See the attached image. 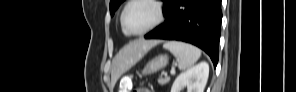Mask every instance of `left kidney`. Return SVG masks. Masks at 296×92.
Returning a JSON list of instances; mask_svg holds the SVG:
<instances>
[{
    "label": "left kidney",
    "instance_id": "5707ae66",
    "mask_svg": "<svg viewBox=\"0 0 296 92\" xmlns=\"http://www.w3.org/2000/svg\"><path fill=\"white\" fill-rule=\"evenodd\" d=\"M209 76V65L201 62L180 73L175 79L171 92H181L187 87V92H203Z\"/></svg>",
    "mask_w": 296,
    "mask_h": 92
}]
</instances>
